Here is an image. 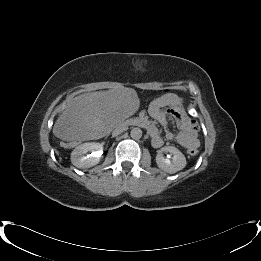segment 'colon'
<instances>
[{"mask_svg":"<svg viewBox=\"0 0 261 261\" xmlns=\"http://www.w3.org/2000/svg\"><path fill=\"white\" fill-rule=\"evenodd\" d=\"M194 126L197 128V126L194 124ZM62 146H67V147H70V146H72V144L71 143H62ZM188 154L189 155H191V156H195V155H197V153H198V148L197 147H194V146H192V147H189L188 148Z\"/></svg>","mask_w":261,"mask_h":261,"instance_id":"obj_1","label":"colon"}]
</instances>
